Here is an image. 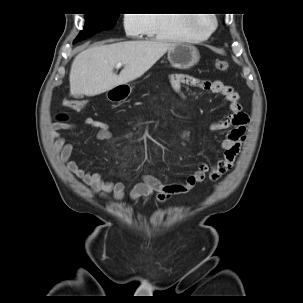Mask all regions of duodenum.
<instances>
[{"label":"duodenum","mask_w":303,"mask_h":303,"mask_svg":"<svg viewBox=\"0 0 303 303\" xmlns=\"http://www.w3.org/2000/svg\"><path fill=\"white\" fill-rule=\"evenodd\" d=\"M126 91L124 89H116L114 92V99L121 100L125 97Z\"/></svg>","instance_id":"duodenum-1"}]
</instances>
